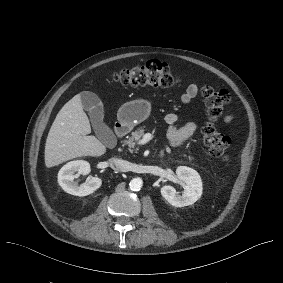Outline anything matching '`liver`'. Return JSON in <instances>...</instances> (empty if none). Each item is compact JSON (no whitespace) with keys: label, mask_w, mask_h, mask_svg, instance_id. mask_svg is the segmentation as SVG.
Segmentation results:
<instances>
[{"label":"liver","mask_w":283,"mask_h":283,"mask_svg":"<svg viewBox=\"0 0 283 283\" xmlns=\"http://www.w3.org/2000/svg\"><path fill=\"white\" fill-rule=\"evenodd\" d=\"M91 126L83 110L81 94H76L58 113L45 145V165L56 167L82 157H100L107 146L91 133Z\"/></svg>","instance_id":"1"}]
</instances>
